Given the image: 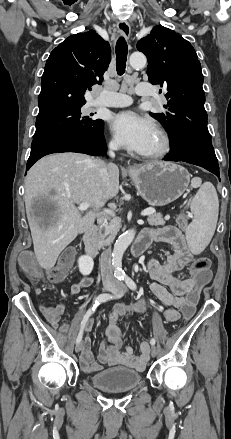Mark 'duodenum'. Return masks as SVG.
Listing matches in <instances>:
<instances>
[{
    "mask_svg": "<svg viewBox=\"0 0 231 439\" xmlns=\"http://www.w3.org/2000/svg\"><path fill=\"white\" fill-rule=\"evenodd\" d=\"M83 243L85 247V252L88 256L94 258L98 254V245H97V226L91 225L87 228L83 235ZM148 243L144 238H137L132 245V254L134 256L141 255L145 249L147 248Z\"/></svg>",
    "mask_w": 231,
    "mask_h": 439,
    "instance_id": "obj_1",
    "label": "duodenum"
}]
</instances>
